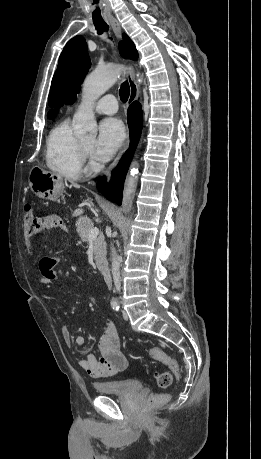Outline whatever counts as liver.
Masks as SVG:
<instances>
[{"instance_id": "obj_1", "label": "liver", "mask_w": 261, "mask_h": 459, "mask_svg": "<svg viewBox=\"0 0 261 459\" xmlns=\"http://www.w3.org/2000/svg\"><path fill=\"white\" fill-rule=\"evenodd\" d=\"M73 186H74L75 188H79V187H80V185H78V184H73ZM81 213H83V210L78 209V210L75 211L74 214H75V215H79V214H81Z\"/></svg>"}]
</instances>
